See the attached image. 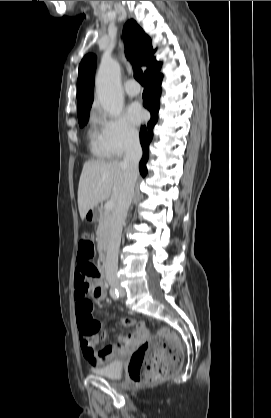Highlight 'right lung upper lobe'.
<instances>
[{
  "mask_svg": "<svg viewBox=\"0 0 271 418\" xmlns=\"http://www.w3.org/2000/svg\"><path fill=\"white\" fill-rule=\"evenodd\" d=\"M124 32L135 48V58L139 65L147 66L145 74L161 66L153 57L154 50L151 39L134 20H129L124 26ZM95 55H86L79 65L77 80V113L78 116L89 113L93 102L94 72L96 68Z\"/></svg>",
  "mask_w": 271,
  "mask_h": 418,
  "instance_id": "1",
  "label": "right lung upper lobe"
}]
</instances>
